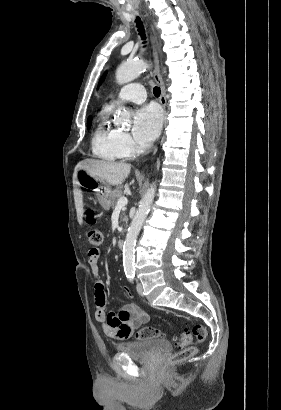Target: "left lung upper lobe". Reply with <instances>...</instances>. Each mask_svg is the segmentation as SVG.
Wrapping results in <instances>:
<instances>
[{"label": "left lung upper lobe", "mask_w": 281, "mask_h": 410, "mask_svg": "<svg viewBox=\"0 0 281 410\" xmlns=\"http://www.w3.org/2000/svg\"><path fill=\"white\" fill-rule=\"evenodd\" d=\"M105 74H106V73H104V75H103V77L101 78L99 84L104 80Z\"/></svg>", "instance_id": "obj_1"}]
</instances>
